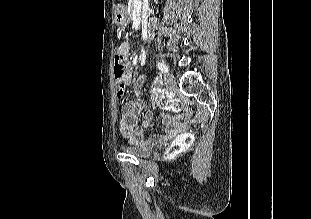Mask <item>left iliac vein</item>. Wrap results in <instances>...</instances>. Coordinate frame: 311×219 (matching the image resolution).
Here are the masks:
<instances>
[{
    "label": "left iliac vein",
    "instance_id": "1",
    "mask_svg": "<svg viewBox=\"0 0 311 219\" xmlns=\"http://www.w3.org/2000/svg\"><path fill=\"white\" fill-rule=\"evenodd\" d=\"M164 82H165V85L166 87L169 89V90H174L175 87H176V80H175V77L173 74L171 73H167L164 75Z\"/></svg>",
    "mask_w": 311,
    "mask_h": 219
}]
</instances>
